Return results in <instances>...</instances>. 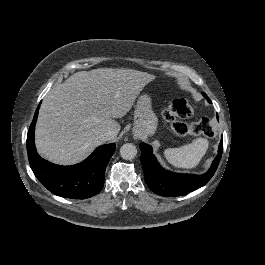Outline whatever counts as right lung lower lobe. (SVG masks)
I'll return each instance as SVG.
<instances>
[{
  "label": "right lung lower lobe",
  "instance_id": "1",
  "mask_svg": "<svg viewBox=\"0 0 265 265\" xmlns=\"http://www.w3.org/2000/svg\"><path fill=\"white\" fill-rule=\"evenodd\" d=\"M37 108L27 135V153L31 169L51 193L72 199H86L97 194L104 185L106 165L115 151V143L100 146L83 162L60 166L42 159L35 148L34 130Z\"/></svg>",
  "mask_w": 265,
  "mask_h": 265
}]
</instances>
